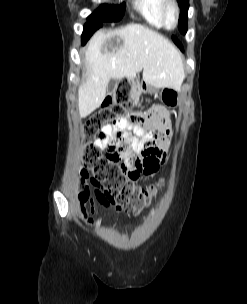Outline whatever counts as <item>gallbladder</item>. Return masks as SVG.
Wrapping results in <instances>:
<instances>
[{"instance_id":"gallbladder-1","label":"gallbladder","mask_w":247,"mask_h":304,"mask_svg":"<svg viewBox=\"0 0 247 304\" xmlns=\"http://www.w3.org/2000/svg\"><path fill=\"white\" fill-rule=\"evenodd\" d=\"M116 87H117V80L111 78L107 85V89H106L107 94L110 95V94L114 93V91L116 90Z\"/></svg>"}]
</instances>
